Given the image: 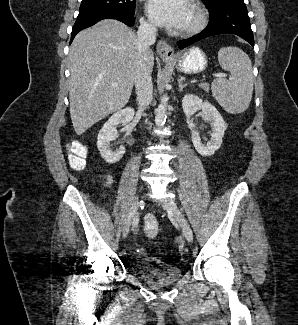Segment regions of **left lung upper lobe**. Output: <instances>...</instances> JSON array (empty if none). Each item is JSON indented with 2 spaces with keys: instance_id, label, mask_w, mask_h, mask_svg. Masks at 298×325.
Here are the masks:
<instances>
[{
  "instance_id": "obj_1",
  "label": "left lung upper lobe",
  "mask_w": 298,
  "mask_h": 325,
  "mask_svg": "<svg viewBox=\"0 0 298 325\" xmlns=\"http://www.w3.org/2000/svg\"><path fill=\"white\" fill-rule=\"evenodd\" d=\"M209 7L211 12L216 11L218 8L238 0H202Z\"/></svg>"
}]
</instances>
